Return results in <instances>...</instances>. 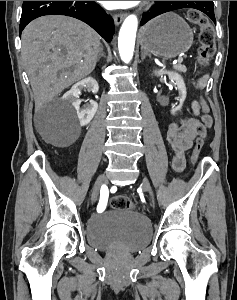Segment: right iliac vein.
I'll list each match as a JSON object with an SVG mask.
<instances>
[{
  "instance_id": "1",
  "label": "right iliac vein",
  "mask_w": 237,
  "mask_h": 300,
  "mask_svg": "<svg viewBox=\"0 0 237 300\" xmlns=\"http://www.w3.org/2000/svg\"><path fill=\"white\" fill-rule=\"evenodd\" d=\"M105 184H106L105 175L101 174L97 178V180H96V182H95V184L93 186V193H92V197H91L92 202L96 201L98 193H99V190H100V187L103 186V185H105Z\"/></svg>"
}]
</instances>
